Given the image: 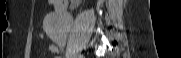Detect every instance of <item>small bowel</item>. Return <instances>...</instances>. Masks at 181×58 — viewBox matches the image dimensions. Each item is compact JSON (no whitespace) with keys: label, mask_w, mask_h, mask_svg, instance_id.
<instances>
[{"label":"small bowel","mask_w":181,"mask_h":58,"mask_svg":"<svg viewBox=\"0 0 181 58\" xmlns=\"http://www.w3.org/2000/svg\"><path fill=\"white\" fill-rule=\"evenodd\" d=\"M48 51L51 53H54L56 55H59V53H60L59 48L54 44L49 46Z\"/></svg>","instance_id":"1"}]
</instances>
